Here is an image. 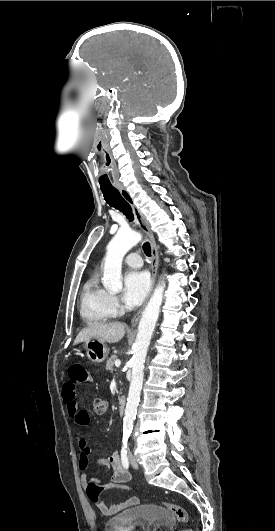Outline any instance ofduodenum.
<instances>
[{"mask_svg":"<svg viewBox=\"0 0 275 531\" xmlns=\"http://www.w3.org/2000/svg\"><path fill=\"white\" fill-rule=\"evenodd\" d=\"M125 408H126V398H125V397H121V398L118 400V403H117V410H118V413H119V414L124 413Z\"/></svg>","mask_w":275,"mask_h":531,"instance_id":"obj_1","label":"duodenum"}]
</instances>
